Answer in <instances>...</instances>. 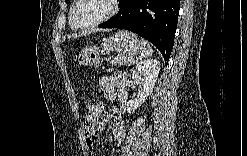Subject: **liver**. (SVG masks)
Masks as SVG:
<instances>
[{
  "instance_id": "1",
  "label": "liver",
  "mask_w": 247,
  "mask_h": 156,
  "mask_svg": "<svg viewBox=\"0 0 247 156\" xmlns=\"http://www.w3.org/2000/svg\"><path fill=\"white\" fill-rule=\"evenodd\" d=\"M95 31H98V30L85 31V32L81 33V35H87V34H90L91 32H95Z\"/></svg>"
}]
</instances>
